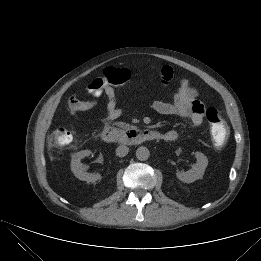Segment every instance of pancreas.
I'll use <instances>...</instances> for the list:
<instances>
[{"mask_svg":"<svg viewBox=\"0 0 261 261\" xmlns=\"http://www.w3.org/2000/svg\"><path fill=\"white\" fill-rule=\"evenodd\" d=\"M117 127L126 130L129 127V124L125 123V122H115L114 123Z\"/></svg>","mask_w":261,"mask_h":261,"instance_id":"obj_1","label":"pancreas"}]
</instances>
